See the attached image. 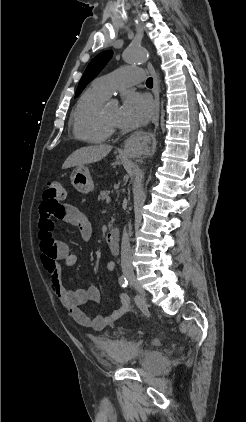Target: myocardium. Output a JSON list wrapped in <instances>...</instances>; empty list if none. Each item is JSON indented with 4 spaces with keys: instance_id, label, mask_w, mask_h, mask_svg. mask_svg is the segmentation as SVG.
Returning <instances> with one entry per match:
<instances>
[{
    "instance_id": "1",
    "label": "myocardium",
    "mask_w": 246,
    "mask_h": 422,
    "mask_svg": "<svg viewBox=\"0 0 246 422\" xmlns=\"http://www.w3.org/2000/svg\"><path fill=\"white\" fill-rule=\"evenodd\" d=\"M101 119L103 124L109 129V130H114L116 129L117 125L110 122L107 117L105 116V109H101Z\"/></svg>"
}]
</instances>
